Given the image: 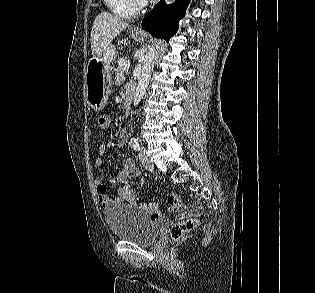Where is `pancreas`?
Segmentation results:
<instances>
[{
	"label": "pancreas",
	"mask_w": 315,
	"mask_h": 293,
	"mask_svg": "<svg viewBox=\"0 0 315 293\" xmlns=\"http://www.w3.org/2000/svg\"><path fill=\"white\" fill-rule=\"evenodd\" d=\"M126 61V59H119L118 60V67L115 70V84L116 85H120L121 83H123L124 81V74H125V70H123V63Z\"/></svg>",
	"instance_id": "obj_1"
}]
</instances>
